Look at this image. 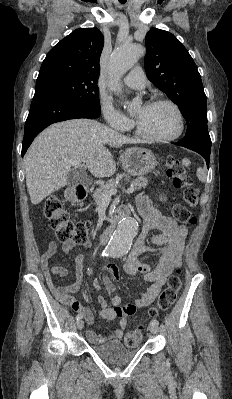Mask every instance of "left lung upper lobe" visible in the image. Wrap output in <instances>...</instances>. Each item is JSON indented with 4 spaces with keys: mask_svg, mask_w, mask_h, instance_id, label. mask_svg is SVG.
I'll return each instance as SVG.
<instances>
[{
    "mask_svg": "<svg viewBox=\"0 0 232 399\" xmlns=\"http://www.w3.org/2000/svg\"><path fill=\"white\" fill-rule=\"evenodd\" d=\"M146 51L148 79L177 104L186 120V135L178 143L188 149L210 152L206 95L187 49L173 34L153 28L146 35Z\"/></svg>",
    "mask_w": 232,
    "mask_h": 399,
    "instance_id": "obj_1",
    "label": "left lung upper lobe"
}]
</instances>
